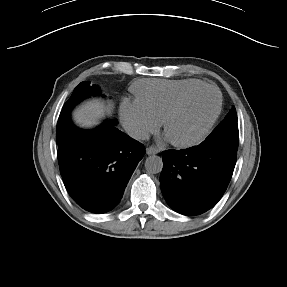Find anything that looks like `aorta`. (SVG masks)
I'll list each match as a JSON object with an SVG mask.
<instances>
[{"instance_id":"1","label":"aorta","mask_w":287,"mask_h":287,"mask_svg":"<svg viewBox=\"0 0 287 287\" xmlns=\"http://www.w3.org/2000/svg\"><path fill=\"white\" fill-rule=\"evenodd\" d=\"M145 168L148 173L157 174L160 173L163 169L162 158L157 155H151L147 157L145 161Z\"/></svg>"}]
</instances>
